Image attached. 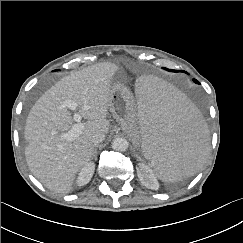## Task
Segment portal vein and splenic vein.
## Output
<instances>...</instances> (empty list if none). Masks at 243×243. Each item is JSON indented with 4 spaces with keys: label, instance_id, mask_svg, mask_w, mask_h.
<instances>
[{
    "label": "portal vein and splenic vein",
    "instance_id": "obj_1",
    "mask_svg": "<svg viewBox=\"0 0 243 243\" xmlns=\"http://www.w3.org/2000/svg\"><path fill=\"white\" fill-rule=\"evenodd\" d=\"M63 106L69 108L74 112L78 108V104L71 100H65ZM73 119L77 123H75L67 133L62 134V138L67 139L69 141L74 140L84 130V124L81 123L82 116L79 113L75 112L73 115Z\"/></svg>",
    "mask_w": 243,
    "mask_h": 243
}]
</instances>
